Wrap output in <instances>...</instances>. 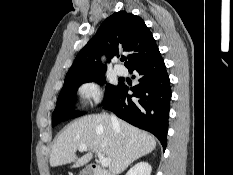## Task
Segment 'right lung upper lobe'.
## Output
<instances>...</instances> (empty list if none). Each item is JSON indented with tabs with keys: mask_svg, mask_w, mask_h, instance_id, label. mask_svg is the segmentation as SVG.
Wrapping results in <instances>:
<instances>
[{
	"mask_svg": "<svg viewBox=\"0 0 233 175\" xmlns=\"http://www.w3.org/2000/svg\"><path fill=\"white\" fill-rule=\"evenodd\" d=\"M158 51L144 21L132 13L119 11L104 20L95 36L78 53L65 81L105 73L106 65L100 60L103 54L110 61L116 55L119 57V53L128 52L125 66L130 68Z\"/></svg>",
	"mask_w": 233,
	"mask_h": 175,
	"instance_id": "cb5924a9",
	"label": "right lung upper lobe"
}]
</instances>
